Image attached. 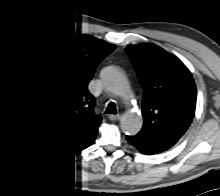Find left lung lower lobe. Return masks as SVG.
<instances>
[{
    "mask_svg": "<svg viewBox=\"0 0 220 196\" xmlns=\"http://www.w3.org/2000/svg\"><path fill=\"white\" fill-rule=\"evenodd\" d=\"M128 141L144 154H156L165 151V149L151 142L143 135L127 136Z\"/></svg>",
    "mask_w": 220,
    "mask_h": 196,
    "instance_id": "0a47b994",
    "label": "left lung lower lobe"
}]
</instances>
